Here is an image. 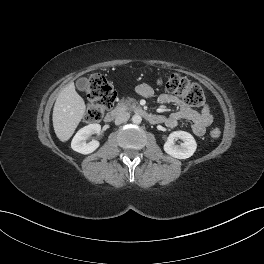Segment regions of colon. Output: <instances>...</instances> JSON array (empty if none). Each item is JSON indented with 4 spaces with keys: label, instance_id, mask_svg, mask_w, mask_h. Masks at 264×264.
<instances>
[{
    "label": "colon",
    "instance_id": "obj_1",
    "mask_svg": "<svg viewBox=\"0 0 264 264\" xmlns=\"http://www.w3.org/2000/svg\"><path fill=\"white\" fill-rule=\"evenodd\" d=\"M158 85H163L165 89L178 95L190 106L201 105L204 101V92L200 85L190 82L188 79L171 74L164 79L157 81ZM86 95L88 105L85 114V121L93 123L101 120L105 112L110 109L116 100V92L110 82L101 74H94L90 77ZM220 136V129L213 127L209 131V137L216 139Z\"/></svg>",
    "mask_w": 264,
    "mask_h": 264
}]
</instances>
